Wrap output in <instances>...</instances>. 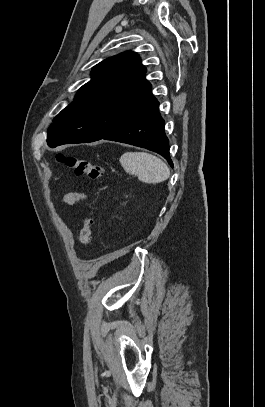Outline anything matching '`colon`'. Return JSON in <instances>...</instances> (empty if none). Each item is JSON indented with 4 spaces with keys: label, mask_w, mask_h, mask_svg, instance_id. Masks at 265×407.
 I'll return each instance as SVG.
<instances>
[{
    "label": "colon",
    "mask_w": 265,
    "mask_h": 407,
    "mask_svg": "<svg viewBox=\"0 0 265 407\" xmlns=\"http://www.w3.org/2000/svg\"><path fill=\"white\" fill-rule=\"evenodd\" d=\"M59 163L72 170L76 175H87L91 179H98L103 175V167L95 162L78 157L59 153L56 156ZM93 210H88L82 219V227L78 235V241L82 247H87L92 241L94 225Z\"/></svg>",
    "instance_id": "5ec220e1"
}]
</instances>
